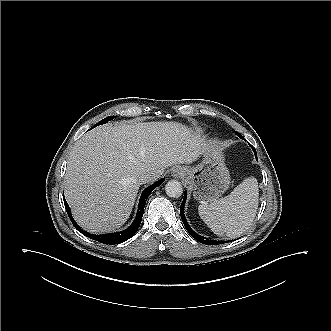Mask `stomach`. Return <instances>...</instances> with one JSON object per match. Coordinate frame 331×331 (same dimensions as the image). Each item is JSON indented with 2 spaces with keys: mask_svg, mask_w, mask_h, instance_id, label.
<instances>
[{
  "mask_svg": "<svg viewBox=\"0 0 331 331\" xmlns=\"http://www.w3.org/2000/svg\"><path fill=\"white\" fill-rule=\"evenodd\" d=\"M203 159L195 167L183 166L184 179L193 188L197 200L218 199L230 185V173L222 150L214 145L202 151Z\"/></svg>",
  "mask_w": 331,
  "mask_h": 331,
  "instance_id": "0dacf381",
  "label": "stomach"
}]
</instances>
